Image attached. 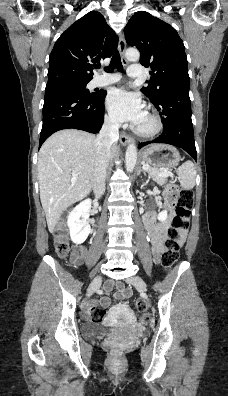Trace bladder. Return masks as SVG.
<instances>
[{"mask_svg":"<svg viewBox=\"0 0 228 396\" xmlns=\"http://www.w3.org/2000/svg\"><path fill=\"white\" fill-rule=\"evenodd\" d=\"M113 329L107 326H100L97 323H89L83 328V335L86 339H97L106 336Z\"/></svg>","mask_w":228,"mask_h":396,"instance_id":"obj_1","label":"bladder"}]
</instances>
